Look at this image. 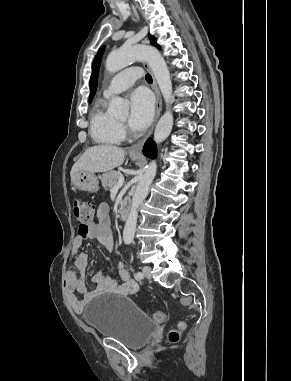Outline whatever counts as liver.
Returning a JSON list of instances; mask_svg holds the SVG:
<instances>
[{
    "label": "liver",
    "instance_id": "obj_1",
    "mask_svg": "<svg viewBox=\"0 0 291 381\" xmlns=\"http://www.w3.org/2000/svg\"><path fill=\"white\" fill-rule=\"evenodd\" d=\"M125 150L114 145H97L87 149L73 165L71 180L78 172H107L123 164Z\"/></svg>",
    "mask_w": 291,
    "mask_h": 381
}]
</instances>
